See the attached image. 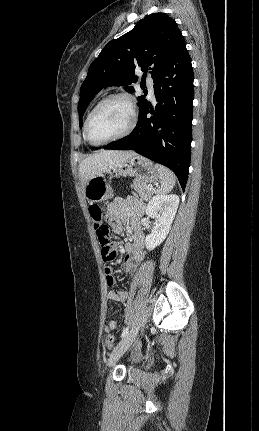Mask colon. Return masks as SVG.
I'll use <instances>...</instances> for the list:
<instances>
[{"label":"colon","instance_id":"colon-1","mask_svg":"<svg viewBox=\"0 0 259 431\" xmlns=\"http://www.w3.org/2000/svg\"><path fill=\"white\" fill-rule=\"evenodd\" d=\"M89 214L93 220L94 229L101 245V253L104 261L115 260L117 254L113 248L109 227L104 222L103 211L101 206L93 204L89 207ZM106 345L112 348L115 344V337L112 333H108L105 338Z\"/></svg>","mask_w":259,"mask_h":431}]
</instances>
